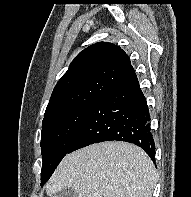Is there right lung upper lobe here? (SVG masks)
Wrapping results in <instances>:
<instances>
[{
    "instance_id": "cb5924a9",
    "label": "right lung upper lobe",
    "mask_w": 191,
    "mask_h": 197,
    "mask_svg": "<svg viewBox=\"0 0 191 197\" xmlns=\"http://www.w3.org/2000/svg\"><path fill=\"white\" fill-rule=\"evenodd\" d=\"M133 77L135 71L119 46L95 43L74 58L57 82L44 118L71 107L96 104L110 89Z\"/></svg>"
}]
</instances>
